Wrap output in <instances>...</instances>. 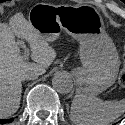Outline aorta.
Instances as JSON below:
<instances>
[{"label":"aorta","instance_id":"762f6f07","mask_svg":"<svg viewBox=\"0 0 125 125\" xmlns=\"http://www.w3.org/2000/svg\"><path fill=\"white\" fill-rule=\"evenodd\" d=\"M52 85L61 94H67L73 88L72 79L66 73H57L52 79Z\"/></svg>","mask_w":125,"mask_h":125}]
</instances>
